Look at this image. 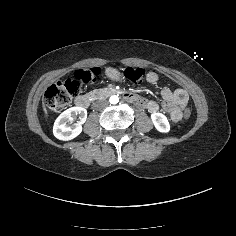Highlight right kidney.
Segmentation results:
<instances>
[{
    "label": "right kidney",
    "mask_w": 236,
    "mask_h": 236,
    "mask_svg": "<svg viewBox=\"0 0 236 236\" xmlns=\"http://www.w3.org/2000/svg\"><path fill=\"white\" fill-rule=\"evenodd\" d=\"M79 116V122L71 125L76 117ZM87 119V110L81 107H72L64 111L55 120L53 134L55 138L62 141H69L81 134L82 124Z\"/></svg>",
    "instance_id": "right-kidney-1"
}]
</instances>
